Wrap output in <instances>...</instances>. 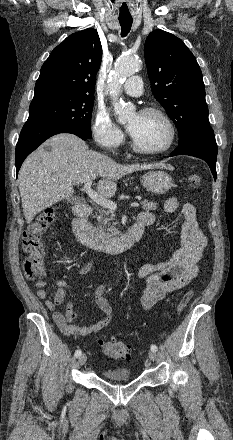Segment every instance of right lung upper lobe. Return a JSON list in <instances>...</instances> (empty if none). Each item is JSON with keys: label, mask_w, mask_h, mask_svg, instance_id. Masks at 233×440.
Instances as JSON below:
<instances>
[{"label": "right lung upper lobe", "mask_w": 233, "mask_h": 440, "mask_svg": "<svg viewBox=\"0 0 233 440\" xmlns=\"http://www.w3.org/2000/svg\"><path fill=\"white\" fill-rule=\"evenodd\" d=\"M101 58L102 46L95 29L71 34L44 62L31 103L57 97L94 98Z\"/></svg>", "instance_id": "1"}]
</instances>
